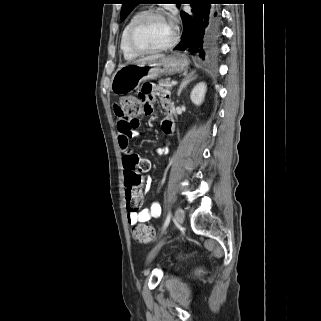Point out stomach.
<instances>
[{"mask_svg": "<svg viewBox=\"0 0 321 321\" xmlns=\"http://www.w3.org/2000/svg\"><path fill=\"white\" fill-rule=\"evenodd\" d=\"M188 65V60L179 54L123 65L112 77L111 91L116 95L130 93L137 89L143 80H153L160 75H174L185 71Z\"/></svg>", "mask_w": 321, "mask_h": 321, "instance_id": "stomach-1", "label": "stomach"}]
</instances>
